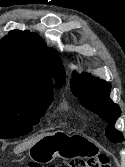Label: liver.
<instances>
[{"instance_id": "obj_1", "label": "liver", "mask_w": 125, "mask_h": 167, "mask_svg": "<svg viewBox=\"0 0 125 167\" xmlns=\"http://www.w3.org/2000/svg\"><path fill=\"white\" fill-rule=\"evenodd\" d=\"M52 133H42L40 135H37L21 144H19L18 146H16L14 148V153L16 154H19L27 149H29L30 147H32L36 142H38L40 139L48 136V135H51Z\"/></svg>"}]
</instances>
